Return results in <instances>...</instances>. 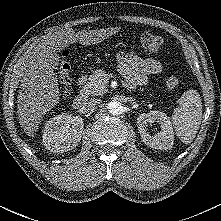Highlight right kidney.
Listing matches in <instances>:
<instances>
[{
	"mask_svg": "<svg viewBox=\"0 0 221 221\" xmlns=\"http://www.w3.org/2000/svg\"><path fill=\"white\" fill-rule=\"evenodd\" d=\"M84 128L83 119L62 113L49 120L43 131V143L51 152L63 153L78 146Z\"/></svg>",
	"mask_w": 221,
	"mask_h": 221,
	"instance_id": "1",
	"label": "right kidney"
}]
</instances>
